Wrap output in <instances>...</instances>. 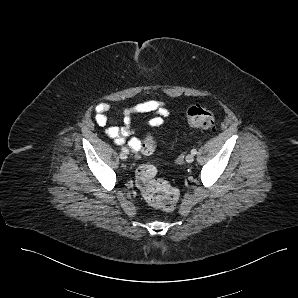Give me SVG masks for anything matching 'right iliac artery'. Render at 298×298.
I'll return each mask as SVG.
<instances>
[{"instance_id":"1","label":"right iliac artery","mask_w":298,"mask_h":298,"mask_svg":"<svg viewBox=\"0 0 298 298\" xmlns=\"http://www.w3.org/2000/svg\"><path fill=\"white\" fill-rule=\"evenodd\" d=\"M122 152L128 154L129 153V150L126 147H122Z\"/></svg>"}]
</instances>
